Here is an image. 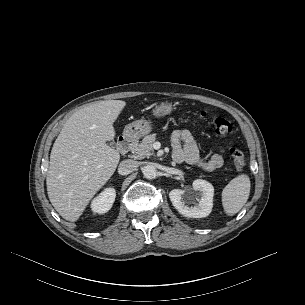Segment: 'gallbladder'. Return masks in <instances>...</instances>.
Returning <instances> with one entry per match:
<instances>
[{
	"mask_svg": "<svg viewBox=\"0 0 305 305\" xmlns=\"http://www.w3.org/2000/svg\"><path fill=\"white\" fill-rule=\"evenodd\" d=\"M109 145H110L111 147H115V142H114V141H110V142H109Z\"/></svg>",
	"mask_w": 305,
	"mask_h": 305,
	"instance_id": "1",
	"label": "gallbladder"
}]
</instances>
